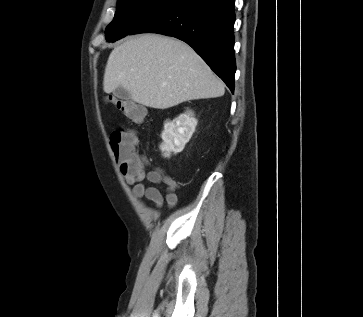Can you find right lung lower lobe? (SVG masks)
<instances>
[{
  "label": "right lung lower lobe",
  "mask_w": 363,
  "mask_h": 317,
  "mask_svg": "<svg viewBox=\"0 0 363 317\" xmlns=\"http://www.w3.org/2000/svg\"><path fill=\"white\" fill-rule=\"evenodd\" d=\"M235 0H177L129 34L160 33L190 45L234 92Z\"/></svg>",
  "instance_id": "1"
}]
</instances>
